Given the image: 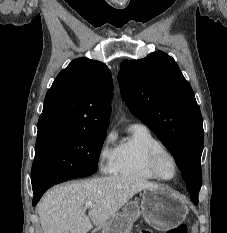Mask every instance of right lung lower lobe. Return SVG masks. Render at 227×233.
<instances>
[{
    "mask_svg": "<svg viewBox=\"0 0 227 233\" xmlns=\"http://www.w3.org/2000/svg\"><path fill=\"white\" fill-rule=\"evenodd\" d=\"M66 180H54V181H51V182H47V183H44L42 184L41 186L37 187V188H34L33 189V192H34V198H33V201H32V205L35 206L38 201L40 200V198L42 197L43 193L50 187L54 186L55 184H58V183H61V182H64Z\"/></svg>",
    "mask_w": 227,
    "mask_h": 233,
    "instance_id": "right-lung-lower-lobe-1",
    "label": "right lung lower lobe"
}]
</instances>
